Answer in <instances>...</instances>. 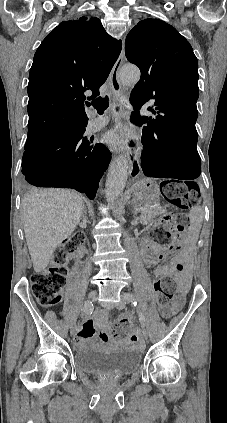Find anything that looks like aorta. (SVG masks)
I'll list each match as a JSON object with an SVG mask.
<instances>
[{
  "instance_id": "762f6f07",
  "label": "aorta",
  "mask_w": 227,
  "mask_h": 423,
  "mask_svg": "<svg viewBox=\"0 0 227 423\" xmlns=\"http://www.w3.org/2000/svg\"><path fill=\"white\" fill-rule=\"evenodd\" d=\"M140 72L135 66H124L121 70V80L124 84L137 83ZM128 160L120 156L110 165L106 179V199L108 203H114L123 193L128 177Z\"/></svg>"
}]
</instances>
